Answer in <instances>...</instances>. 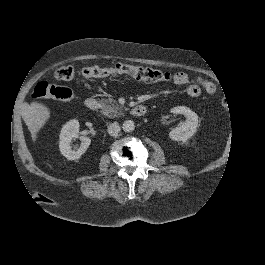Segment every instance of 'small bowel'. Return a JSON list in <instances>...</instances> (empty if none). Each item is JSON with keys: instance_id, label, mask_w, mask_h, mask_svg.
<instances>
[{"instance_id": "small-bowel-1", "label": "small bowel", "mask_w": 265, "mask_h": 265, "mask_svg": "<svg viewBox=\"0 0 265 265\" xmlns=\"http://www.w3.org/2000/svg\"><path fill=\"white\" fill-rule=\"evenodd\" d=\"M173 81L176 85H186V92L190 97L196 98L203 93L212 94L215 91V86L212 82L198 78L193 82H190V77L184 72H178L174 75Z\"/></svg>"}]
</instances>
